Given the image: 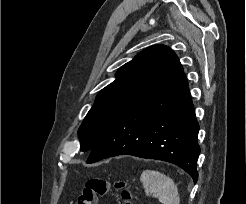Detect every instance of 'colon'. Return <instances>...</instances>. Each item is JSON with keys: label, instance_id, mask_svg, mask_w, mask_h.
Wrapping results in <instances>:
<instances>
[{"label": "colon", "instance_id": "1", "mask_svg": "<svg viewBox=\"0 0 246 204\" xmlns=\"http://www.w3.org/2000/svg\"><path fill=\"white\" fill-rule=\"evenodd\" d=\"M114 188L121 190L124 204H133V193L124 180L116 181ZM111 183L103 178L96 177L89 179L77 199V204H96L98 198L107 194Z\"/></svg>", "mask_w": 246, "mask_h": 204}]
</instances>
